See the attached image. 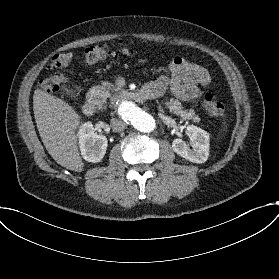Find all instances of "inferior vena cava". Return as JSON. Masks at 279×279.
Here are the masks:
<instances>
[{"label": "inferior vena cava", "instance_id": "1", "mask_svg": "<svg viewBox=\"0 0 279 279\" xmlns=\"http://www.w3.org/2000/svg\"><path fill=\"white\" fill-rule=\"evenodd\" d=\"M110 126L115 131H123L126 129L127 123L125 120H123L121 118H112L110 121Z\"/></svg>", "mask_w": 279, "mask_h": 279}]
</instances>
